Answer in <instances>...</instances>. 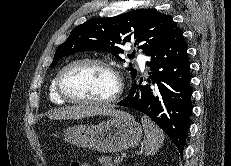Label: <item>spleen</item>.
I'll return each mask as SVG.
<instances>
[{
  "label": "spleen",
  "mask_w": 231,
  "mask_h": 166,
  "mask_svg": "<svg viewBox=\"0 0 231 166\" xmlns=\"http://www.w3.org/2000/svg\"><path fill=\"white\" fill-rule=\"evenodd\" d=\"M142 125L146 135L145 155H154L164 142L163 131L147 116H143Z\"/></svg>",
  "instance_id": "obj_1"
}]
</instances>
